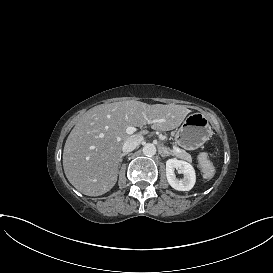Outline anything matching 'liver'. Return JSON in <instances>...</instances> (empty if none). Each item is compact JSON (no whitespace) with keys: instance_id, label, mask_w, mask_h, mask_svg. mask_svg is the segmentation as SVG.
I'll return each mask as SVG.
<instances>
[{"instance_id":"obj_1","label":"liver","mask_w":273,"mask_h":273,"mask_svg":"<svg viewBox=\"0 0 273 273\" xmlns=\"http://www.w3.org/2000/svg\"><path fill=\"white\" fill-rule=\"evenodd\" d=\"M191 110L184 105L155 104L128 100L102 104L88 110L70 132L63 151V168L69 182L81 193L99 196L116 183L122 147L133 136L130 126L169 131L178 127Z\"/></svg>"}]
</instances>
